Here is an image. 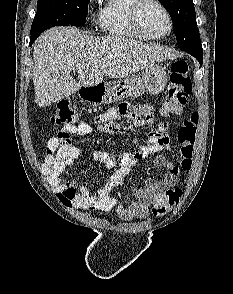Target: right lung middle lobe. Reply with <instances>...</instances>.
Wrapping results in <instances>:
<instances>
[{"label": "right lung middle lobe", "instance_id": "right-lung-middle-lobe-1", "mask_svg": "<svg viewBox=\"0 0 233 294\" xmlns=\"http://www.w3.org/2000/svg\"><path fill=\"white\" fill-rule=\"evenodd\" d=\"M90 0H38L31 27V38H37L53 26H83Z\"/></svg>", "mask_w": 233, "mask_h": 294}]
</instances>
